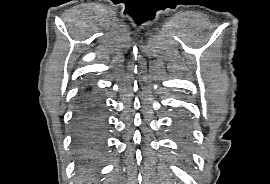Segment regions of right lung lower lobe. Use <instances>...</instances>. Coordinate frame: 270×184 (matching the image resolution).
Returning a JSON list of instances; mask_svg holds the SVG:
<instances>
[{"instance_id":"right-lung-lower-lobe-1","label":"right lung lower lobe","mask_w":270,"mask_h":184,"mask_svg":"<svg viewBox=\"0 0 270 184\" xmlns=\"http://www.w3.org/2000/svg\"><path fill=\"white\" fill-rule=\"evenodd\" d=\"M103 123L100 103L89 90L82 93L75 113L74 138L77 149L86 156H96L101 150Z\"/></svg>"}]
</instances>
